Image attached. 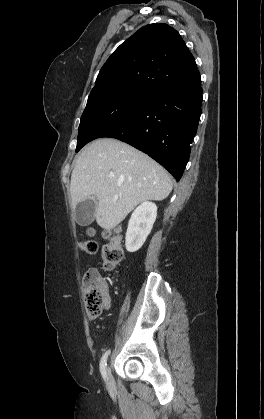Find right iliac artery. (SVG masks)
<instances>
[{"mask_svg":"<svg viewBox=\"0 0 264 419\" xmlns=\"http://www.w3.org/2000/svg\"><path fill=\"white\" fill-rule=\"evenodd\" d=\"M109 354H110V350H107L103 354V356L101 358V361H100V371H101V374H102L104 380L107 379L106 365H107V358H108Z\"/></svg>","mask_w":264,"mask_h":419,"instance_id":"right-iliac-artery-1","label":"right iliac artery"}]
</instances>
